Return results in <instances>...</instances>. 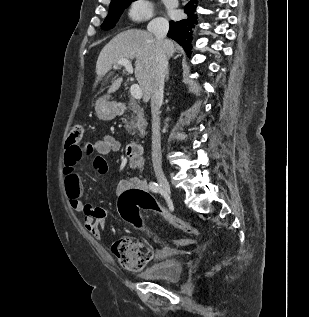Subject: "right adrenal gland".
Here are the masks:
<instances>
[{
    "label": "right adrenal gland",
    "mask_w": 309,
    "mask_h": 317,
    "mask_svg": "<svg viewBox=\"0 0 309 317\" xmlns=\"http://www.w3.org/2000/svg\"><path fill=\"white\" fill-rule=\"evenodd\" d=\"M169 79V72H167V75H166V81Z\"/></svg>",
    "instance_id": "2a0ac1e0"
}]
</instances>
